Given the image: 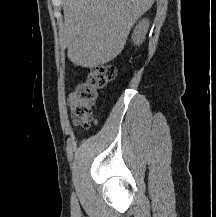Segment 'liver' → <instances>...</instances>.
Wrapping results in <instances>:
<instances>
[{
    "label": "liver",
    "mask_w": 216,
    "mask_h": 217,
    "mask_svg": "<svg viewBox=\"0 0 216 217\" xmlns=\"http://www.w3.org/2000/svg\"><path fill=\"white\" fill-rule=\"evenodd\" d=\"M155 0H64L59 37L68 58L98 67L123 50L131 28Z\"/></svg>",
    "instance_id": "1"
}]
</instances>
